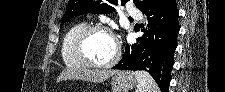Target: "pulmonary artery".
Returning a JSON list of instances; mask_svg holds the SVG:
<instances>
[{
  "label": "pulmonary artery",
  "mask_w": 225,
  "mask_h": 92,
  "mask_svg": "<svg viewBox=\"0 0 225 92\" xmlns=\"http://www.w3.org/2000/svg\"><path fill=\"white\" fill-rule=\"evenodd\" d=\"M129 15L133 18H141V13L139 11L131 10L129 11Z\"/></svg>",
  "instance_id": "1"
}]
</instances>
